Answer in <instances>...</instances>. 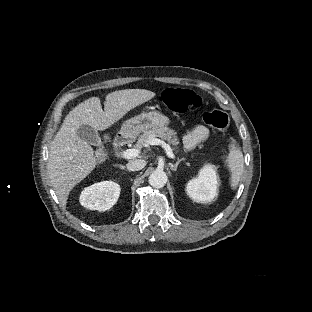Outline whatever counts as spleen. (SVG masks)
<instances>
[{
    "label": "spleen",
    "mask_w": 312,
    "mask_h": 312,
    "mask_svg": "<svg viewBox=\"0 0 312 312\" xmlns=\"http://www.w3.org/2000/svg\"><path fill=\"white\" fill-rule=\"evenodd\" d=\"M229 149L227 162L231 170V187L235 189L243 173L244 159L241 150L235 146V143H231Z\"/></svg>",
    "instance_id": "obj_1"
}]
</instances>
